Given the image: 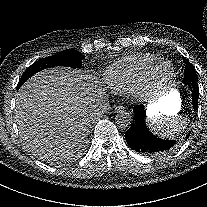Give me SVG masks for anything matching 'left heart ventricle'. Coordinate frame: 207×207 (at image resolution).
<instances>
[{
  "mask_svg": "<svg viewBox=\"0 0 207 207\" xmlns=\"http://www.w3.org/2000/svg\"><path fill=\"white\" fill-rule=\"evenodd\" d=\"M171 72V66L166 64L163 65L154 75V79L156 82L161 83L163 82Z\"/></svg>",
  "mask_w": 207,
  "mask_h": 207,
  "instance_id": "left-heart-ventricle-1",
  "label": "left heart ventricle"
}]
</instances>
